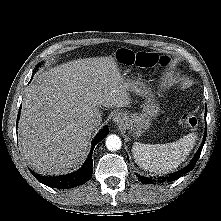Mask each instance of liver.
I'll use <instances>...</instances> for the list:
<instances>
[{"label": "liver", "mask_w": 221, "mask_h": 221, "mask_svg": "<svg viewBox=\"0 0 221 221\" xmlns=\"http://www.w3.org/2000/svg\"><path fill=\"white\" fill-rule=\"evenodd\" d=\"M129 87L112 57L73 60L38 75L26 90L18 124L24 159L43 175L78 168L89 150V120L101 116L102 107H127Z\"/></svg>", "instance_id": "liver-1"}]
</instances>
